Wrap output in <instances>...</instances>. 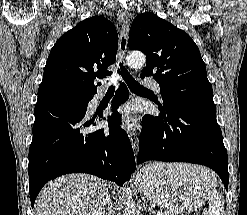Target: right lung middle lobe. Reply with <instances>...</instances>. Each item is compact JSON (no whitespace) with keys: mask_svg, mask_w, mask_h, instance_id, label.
Returning a JSON list of instances; mask_svg holds the SVG:
<instances>
[{"mask_svg":"<svg viewBox=\"0 0 247 215\" xmlns=\"http://www.w3.org/2000/svg\"><path fill=\"white\" fill-rule=\"evenodd\" d=\"M53 90L59 94H63V95H66L68 97L75 98V99H82L85 96V95L78 94V93L64 90V89H53Z\"/></svg>","mask_w":247,"mask_h":215,"instance_id":"obj_1","label":"right lung middle lobe"}]
</instances>
